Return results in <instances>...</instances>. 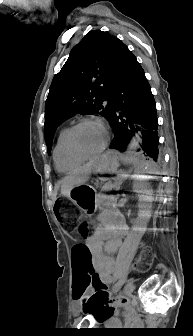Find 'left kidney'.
<instances>
[{"label": "left kidney", "instance_id": "left-kidney-1", "mask_svg": "<svg viewBox=\"0 0 193 336\" xmlns=\"http://www.w3.org/2000/svg\"><path fill=\"white\" fill-rule=\"evenodd\" d=\"M141 192V191H140ZM145 194H141L139 196V206L141 208L140 217L142 219H149L151 216V207L153 202V196L150 191L143 192Z\"/></svg>", "mask_w": 193, "mask_h": 336}]
</instances>
